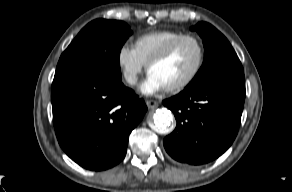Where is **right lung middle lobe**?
Wrapping results in <instances>:
<instances>
[{"label":"right lung middle lobe","instance_id":"right-lung-middle-lobe-1","mask_svg":"<svg viewBox=\"0 0 292 192\" xmlns=\"http://www.w3.org/2000/svg\"><path fill=\"white\" fill-rule=\"evenodd\" d=\"M132 34L122 21L97 19L87 24L62 53L57 68L78 67L121 80L119 54Z\"/></svg>","mask_w":292,"mask_h":192}]
</instances>
